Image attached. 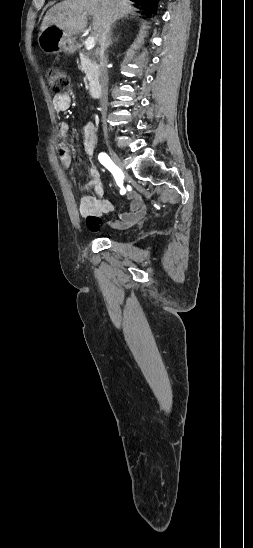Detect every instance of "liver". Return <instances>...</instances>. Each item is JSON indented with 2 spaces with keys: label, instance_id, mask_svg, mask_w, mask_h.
<instances>
[{
  "label": "liver",
  "instance_id": "obj_1",
  "mask_svg": "<svg viewBox=\"0 0 253 548\" xmlns=\"http://www.w3.org/2000/svg\"><path fill=\"white\" fill-rule=\"evenodd\" d=\"M110 10L113 12L112 22L136 11L128 0H64L47 11L40 29L43 31L54 25L63 30L67 37H73L86 28L87 16L91 15L93 34L98 39Z\"/></svg>",
  "mask_w": 253,
  "mask_h": 548
}]
</instances>
